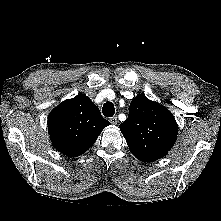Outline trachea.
Masks as SVG:
<instances>
[{
  "label": "trachea",
  "mask_w": 221,
  "mask_h": 221,
  "mask_svg": "<svg viewBox=\"0 0 221 221\" xmlns=\"http://www.w3.org/2000/svg\"><path fill=\"white\" fill-rule=\"evenodd\" d=\"M105 117H112L115 113V107L112 102H106L102 108Z\"/></svg>",
  "instance_id": "obj_1"
}]
</instances>
